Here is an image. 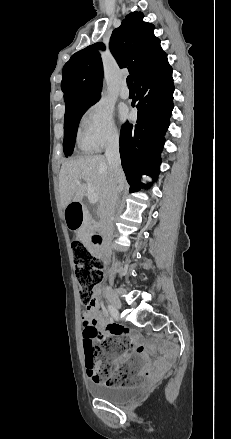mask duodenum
I'll return each mask as SVG.
<instances>
[{"label":"duodenum","instance_id":"duodenum-1","mask_svg":"<svg viewBox=\"0 0 231 439\" xmlns=\"http://www.w3.org/2000/svg\"><path fill=\"white\" fill-rule=\"evenodd\" d=\"M82 202L72 203L68 206L69 217L71 221L80 220L82 217ZM90 245L94 250L100 251L102 250V236L99 233H92L89 236Z\"/></svg>","mask_w":231,"mask_h":439}]
</instances>
